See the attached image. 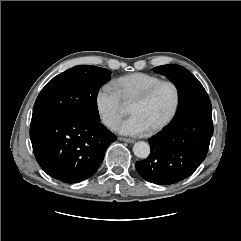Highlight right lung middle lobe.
Here are the masks:
<instances>
[{
  "label": "right lung middle lobe",
  "mask_w": 241,
  "mask_h": 241,
  "mask_svg": "<svg viewBox=\"0 0 241 241\" xmlns=\"http://www.w3.org/2000/svg\"><path fill=\"white\" fill-rule=\"evenodd\" d=\"M110 74L104 68L79 65L55 76L37 97L32 118L66 114L99 122L97 94Z\"/></svg>",
  "instance_id": "obj_1"
}]
</instances>
